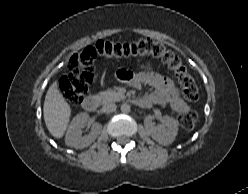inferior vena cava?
Instances as JSON below:
<instances>
[{
    "label": "inferior vena cava",
    "instance_id": "obj_1",
    "mask_svg": "<svg viewBox=\"0 0 248 194\" xmlns=\"http://www.w3.org/2000/svg\"><path fill=\"white\" fill-rule=\"evenodd\" d=\"M116 108H117L116 104H114V103H108V104H105L103 106V111L105 113H110V112H114L116 110Z\"/></svg>",
    "mask_w": 248,
    "mask_h": 194
}]
</instances>
